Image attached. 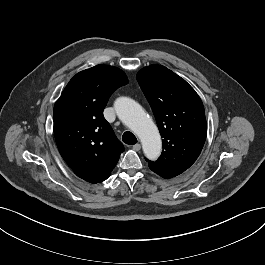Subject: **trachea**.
<instances>
[{
  "label": "trachea",
  "mask_w": 265,
  "mask_h": 265,
  "mask_svg": "<svg viewBox=\"0 0 265 265\" xmlns=\"http://www.w3.org/2000/svg\"><path fill=\"white\" fill-rule=\"evenodd\" d=\"M122 140L124 143L128 144V145H134L137 143V138L135 137V135L129 131H126L123 136H122Z\"/></svg>",
  "instance_id": "obj_1"
}]
</instances>
